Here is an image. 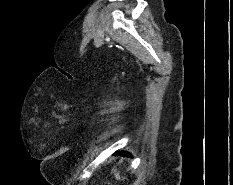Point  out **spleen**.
I'll list each match as a JSON object with an SVG mask.
<instances>
[{
	"label": "spleen",
	"instance_id": "3e777b00",
	"mask_svg": "<svg viewBox=\"0 0 233 185\" xmlns=\"http://www.w3.org/2000/svg\"><path fill=\"white\" fill-rule=\"evenodd\" d=\"M113 173H114V176H115V178L117 179V180H120L121 179V177H120V175H119V173L117 172V170L115 169H113Z\"/></svg>",
	"mask_w": 233,
	"mask_h": 185
}]
</instances>
